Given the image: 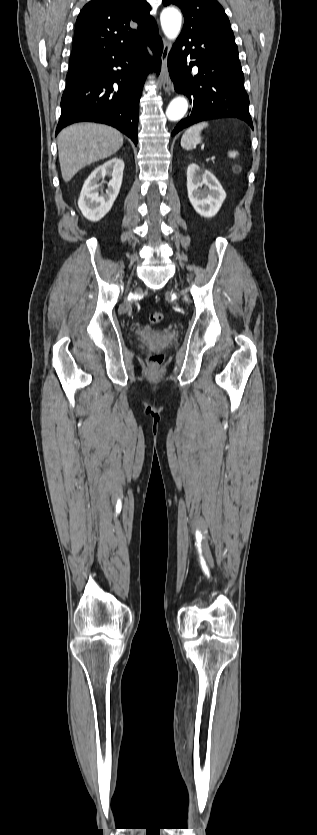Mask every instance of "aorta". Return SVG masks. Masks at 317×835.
Here are the masks:
<instances>
[{
  "label": "aorta",
  "mask_w": 317,
  "mask_h": 835,
  "mask_svg": "<svg viewBox=\"0 0 317 835\" xmlns=\"http://www.w3.org/2000/svg\"><path fill=\"white\" fill-rule=\"evenodd\" d=\"M160 21L165 36L170 40L176 39L180 33L182 24V15L179 10L172 7L164 9L161 13ZM187 110V99L185 97H177L167 107V119L169 121H178L185 116Z\"/></svg>",
  "instance_id": "obj_1"
}]
</instances>
